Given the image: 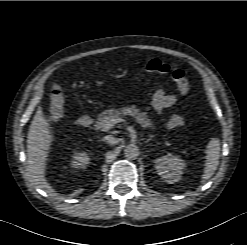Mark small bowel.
<instances>
[{
	"mask_svg": "<svg viewBox=\"0 0 247 245\" xmlns=\"http://www.w3.org/2000/svg\"><path fill=\"white\" fill-rule=\"evenodd\" d=\"M176 95L157 90L152 98V106L157 112L170 109L176 102Z\"/></svg>",
	"mask_w": 247,
	"mask_h": 245,
	"instance_id": "obj_1",
	"label": "small bowel"
}]
</instances>
